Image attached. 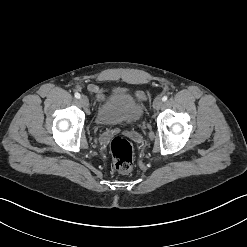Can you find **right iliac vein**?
Masks as SVG:
<instances>
[{"instance_id":"1","label":"right iliac vein","mask_w":247,"mask_h":247,"mask_svg":"<svg viewBox=\"0 0 247 247\" xmlns=\"http://www.w3.org/2000/svg\"><path fill=\"white\" fill-rule=\"evenodd\" d=\"M80 103L83 107L87 108L89 106V100L86 96H81L80 97Z\"/></svg>"}]
</instances>
